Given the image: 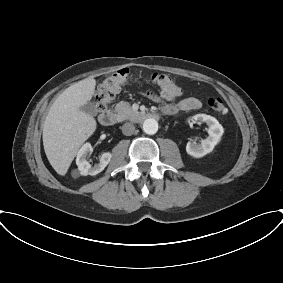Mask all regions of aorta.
<instances>
[{"mask_svg":"<svg viewBox=\"0 0 283 283\" xmlns=\"http://www.w3.org/2000/svg\"><path fill=\"white\" fill-rule=\"evenodd\" d=\"M143 131L146 134L154 135L158 131V122L155 119H146L143 123Z\"/></svg>","mask_w":283,"mask_h":283,"instance_id":"762f6f07","label":"aorta"}]
</instances>
